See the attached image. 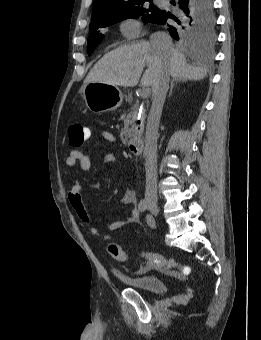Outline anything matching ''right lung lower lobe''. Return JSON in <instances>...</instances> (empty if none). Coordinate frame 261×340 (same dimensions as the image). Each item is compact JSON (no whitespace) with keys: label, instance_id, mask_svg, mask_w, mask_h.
Masks as SVG:
<instances>
[{"label":"right lung lower lobe","instance_id":"1","mask_svg":"<svg viewBox=\"0 0 261 340\" xmlns=\"http://www.w3.org/2000/svg\"><path fill=\"white\" fill-rule=\"evenodd\" d=\"M170 3L174 7V10L172 12L160 10L159 14L151 23L167 26L170 35L174 39H176L172 27L174 26V21L185 16L192 8H198L200 11L206 13H213V0H172Z\"/></svg>","mask_w":261,"mask_h":340}]
</instances>
